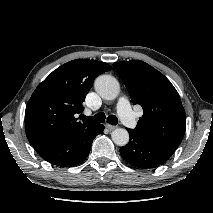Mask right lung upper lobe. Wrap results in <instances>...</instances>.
Segmentation results:
<instances>
[{"mask_svg": "<svg viewBox=\"0 0 213 213\" xmlns=\"http://www.w3.org/2000/svg\"><path fill=\"white\" fill-rule=\"evenodd\" d=\"M107 63L76 59L54 70L32 94L25 111V131L31 144L70 140L96 123L78 121L76 113L94 79L111 70Z\"/></svg>", "mask_w": 213, "mask_h": 213, "instance_id": "1", "label": "right lung upper lobe"}]
</instances>
